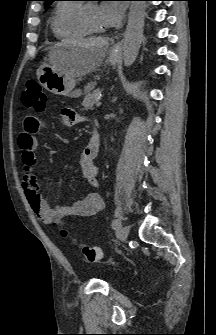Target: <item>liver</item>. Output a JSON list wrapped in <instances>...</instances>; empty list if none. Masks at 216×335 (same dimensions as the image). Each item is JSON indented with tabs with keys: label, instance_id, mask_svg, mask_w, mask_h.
Returning a JSON list of instances; mask_svg holds the SVG:
<instances>
[{
	"label": "liver",
	"instance_id": "obj_1",
	"mask_svg": "<svg viewBox=\"0 0 216 335\" xmlns=\"http://www.w3.org/2000/svg\"><path fill=\"white\" fill-rule=\"evenodd\" d=\"M68 44L64 41L58 45ZM70 45L77 47L78 51L64 65L62 70L76 78L94 71L103 63L108 48V39L91 38Z\"/></svg>",
	"mask_w": 216,
	"mask_h": 335
}]
</instances>
